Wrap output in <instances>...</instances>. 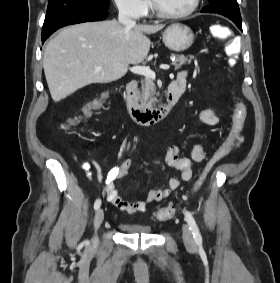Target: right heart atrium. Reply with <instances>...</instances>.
I'll list each match as a JSON object with an SVG mask.
<instances>
[{
	"label": "right heart atrium",
	"mask_w": 280,
	"mask_h": 283,
	"mask_svg": "<svg viewBox=\"0 0 280 283\" xmlns=\"http://www.w3.org/2000/svg\"><path fill=\"white\" fill-rule=\"evenodd\" d=\"M120 13L135 20L143 19L150 9L149 0H115Z\"/></svg>",
	"instance_id": "obj_1"
}]
</instances>
